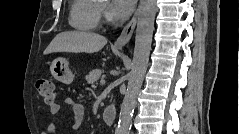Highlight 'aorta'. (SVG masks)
Listing matches in <instances>:
<instances>
[{"label":"aorta","mask_w":239,"mask_h":134,"mask_svg":"<svg viewBox=\"0 0 239 134\" xmlns=\"http://www.w3.org/2000/svg\"><path fill=\"white\" fill-rule=\"evenodd\" d=\"M156 12V0H141L131 72L119 114L118 134H129L131 129L137 93L148 67Z\"/></svg>","instance_id":"1"}]
</instances>
